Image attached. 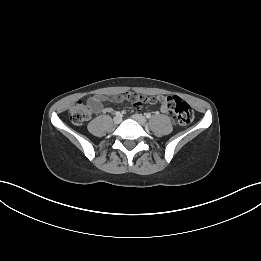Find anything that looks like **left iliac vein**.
<instances>
[{"mask_svg": "<svg viewBox=\"0 0 261 261\" xmlns=\"http://www.w3.org/2000/svg\"><path fill=\"white\" fill-rule=\"evenodd\" d=\"M132 118L142 126H145L147 124L146 118L141 114H134Z\"/></svg>", "mask_w": 261, "mask_h": 261, "instance_id": "obj_1", "label": "left iliac vein"}]
</instances>
